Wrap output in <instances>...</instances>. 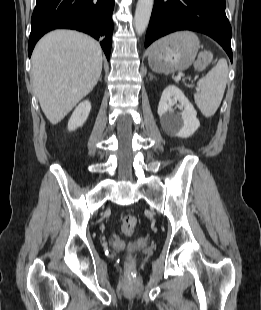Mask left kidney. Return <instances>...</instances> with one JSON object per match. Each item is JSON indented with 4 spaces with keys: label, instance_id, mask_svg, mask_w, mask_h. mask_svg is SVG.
I'll use <instances>...</instances> for the list:
<instances>
[{
    "label": "left kidney",
    "instance_id": "5707ae66",
    "mask_svg": "<svg viewBox=\"0 0 261 310\" xmlns=\"http://www.w3.org/2000/svg\"><path fill=\"white\" fill-rule=\"evenodd\" d=\"M179 102L181 117L176 115L173 105ZM158 115L163 129L180 138H188L199 128L197 112L184 93L175 85H168L158 105Z\"/></svg>",
    "mask_w": 261,
    "mask_h": 310
}]
</instances>
